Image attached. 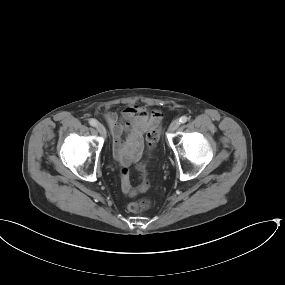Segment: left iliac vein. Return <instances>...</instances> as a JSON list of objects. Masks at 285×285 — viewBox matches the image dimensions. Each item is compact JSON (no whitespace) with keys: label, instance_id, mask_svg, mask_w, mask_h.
<instances>
[{"label":"left iliac vein","instance_id":"obj_1","mask_svg":"<svg viewBox=\"0 0 285 285\" xmlns=\"http://www.w3.org/2000/svg\"><path fill=\"white\" fill-rule=\"evenodd\" d=\"M179 125H180L179 120H174V121H172V123H171L170 126H169L168 131H169V132H174V131H176V130L178 129Z\"/></svg>","mask_w":285,"mask_h":285}]
</instances>
